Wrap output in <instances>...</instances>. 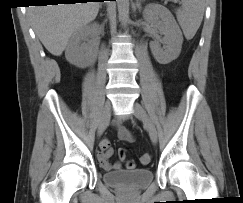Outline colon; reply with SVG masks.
<instances>
[{
    "label": "colon",
    "mask_w": 243,
    "mask_h": 203,
    "mask_svg": "<svg viewBox=\"0 0 243 203\" xmlns=\"http://www.w3.org/2000/svg\"><path fill=\"white\" fill-rule=\"evenodd\" d=\"M125 155H126V150L123 149V148L119 149V156L121 158H124ZM151 160H152V157H151L150 154H144L140 159L141 163L144 164V165L149 164L151 162ZM135 165H136L135 162L132 161V160L128 161L127 164H126L128 169H134Z\"/></svg>",
    "instance_id": "colon-1"
}]
</instances>
